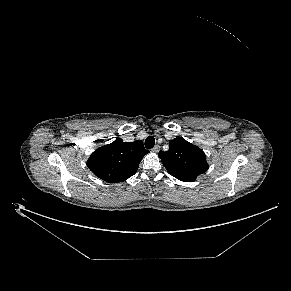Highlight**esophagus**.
<instances>
[{
  "instance_id": "esophagus-1",
  "label": "esophagus",
  "mask_w": 291,
  "mask_h": 291,
  "mask_svg": "<svg viewBox=\"0 0 291 291\" xmlns=\"http://www.w3.org/2000/svg\"><path fill=\"white\" fill-rule=\"evenodd\" d=\"M151 150H152V152H154V153H158L159 150H160V146H159V145H155Z\"/></svg>"
}]
</instances>
